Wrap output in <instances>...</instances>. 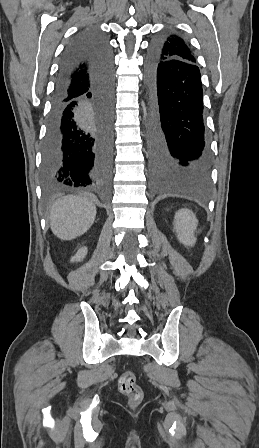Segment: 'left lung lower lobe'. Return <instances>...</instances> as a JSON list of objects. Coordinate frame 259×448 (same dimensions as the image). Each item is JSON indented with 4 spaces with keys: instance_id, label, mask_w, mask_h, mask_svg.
Wrapping results in <instances>:
<instances>
[{
    "instance_id": "1",
    "label": "left lung lower lobe",
    "mask_w": 259,
    "mask_h": 448,
    "mask_svg": "<svg viewBox=\"0 0 259 448\" xmlns=\"http://www.w3.org/2000/svg\"><path fill=\"white\" fill-rule=\"evenodd\" d=\"M163 37L153 40L146 60L151 178L160 191L199 192L211 168L201 75L196 64L159 60L154 49Z\"/></svg>"
}]
</instances>
